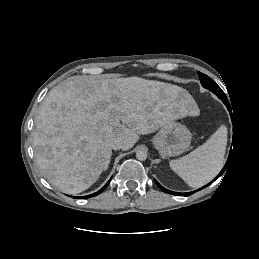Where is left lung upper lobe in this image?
Returning <instances> with one entry per match:
<instances>
[{
	"label": "left lung upper lobe",
	"instance_id": "left-lung-upper-lobe-1",
	"mask_svg": "<svg viewBox=\"0 0 259 259\" xmlns=\"http://www.w3.org/2000/svg\"><path fill=\"white\" fill-rule=\"evenodd\" d=\"M198 75H199L201 84L204 88L212 91L215 94L224 93L221 90V88L210 77H208L207 75H205L201 72H198Z\"/></svg>",
	"mask_w": 259,
	"mask_h": 259
}]
</instances>
